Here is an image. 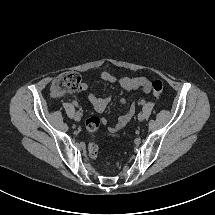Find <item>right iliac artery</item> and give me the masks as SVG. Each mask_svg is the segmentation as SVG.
<instances>
[{"label": "right iliac artery", "mask_w": 215, "mask_h": 215, "mask_svg": "<svg viewBox=\"0 0 215 215\" xmlns=\"http://www.w3.org/2000/svg\"><path fill=\"white\" fill-rule=\"evenodd\" d=\"M74 106H77V103H74ZM78 113H79V111H78Z\"/></svg>", "instance_id": "obj_1"}]
</instances>
